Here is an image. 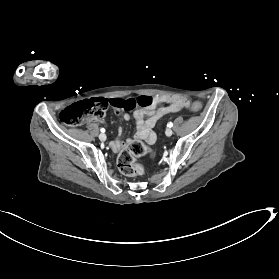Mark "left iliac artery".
Here are the masks:
<instances>
[{
  "label": "left iliac artery",
  "instance_id": "1",
  "mask_svg": "<svg viewBox=\"0 0 279 279\" xmlns=\"http://www.w3.org/2000/svg\"><path fill=\"white\" fill-rule=\"evenodd\" d=\"M167 126H168V127H172V126H173V123H172V122H169V123L167 124Z\"/></svg>",
  "mask_w": 279,
  "mask_h": 279
}]
</instances>
